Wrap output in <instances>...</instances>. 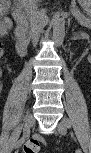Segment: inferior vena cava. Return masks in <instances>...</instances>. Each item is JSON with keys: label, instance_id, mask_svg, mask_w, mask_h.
Here are the masks:
<instances>
[{"label": "inferior vena cava", "instance_id": "602c4592", "mask_svg": "<svg viewBox=\"0 0 91 153\" xmlns=\"http://www.w3.org/2000/svg\"><path fill=\"white\" fill-rule=\"evenodd\" d=\"M30 21L32 23L31 37L33 39V43L37 46L36 43L38 42L39 34L45 21V12L40 11L32 13Z\"/></svg>", "mask_w": 91, "mask_h": 153}]
</instances>
